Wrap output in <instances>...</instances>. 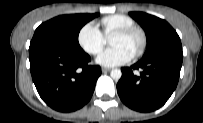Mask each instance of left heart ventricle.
Returning a JSON list of instances; mask_svg holds the SVG:
<instances>
[{
    "label": "left heart ventricle",
    "instance_id": "obj_1",
    "mask_svg": "<svg viewBox=\"0 0 203 123\" xmlns=\"http://www.w3.org/2000/svg\"><path fill=\"white\" fill-rule=\"evenodd\" d=\"M141 38L138 34L134 33L128 36L112 35L110 38L111 46H120L127 50L132 55L140 47Z\"/></svg>",
    "mask_w": 203,
    "mask_h": 123
}]
</instances>
